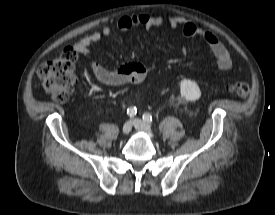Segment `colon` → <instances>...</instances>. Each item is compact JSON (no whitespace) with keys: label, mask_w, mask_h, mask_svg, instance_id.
Returning <instances> with one entry per match:
<instances>
[{"label":"colon","mask_w":275,"mask_h":215,"mask_svg":"<svg viewBox=\"0 0 275 215\" xmlns=\"http://www.w3.org/2000/svg\"><path fill=\"white\" fill-rule=\"evenodd\" d=\"M77 53L72 48H65L60 56L54 60L42 64L39 68V76L45 92L58 102H65L75 89L77 77L75 66ZM230 94L238 97H246L249 94V85L237 81L228 85Z\"/></svg>","instance_id":"colon-1"}]
</instances>
